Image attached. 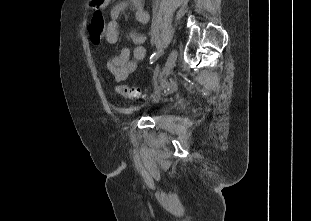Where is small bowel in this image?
Wrapping results in <instances>:
<instances>
[{
  "mask_svg": "<svg viewBox=\"0 0 311 221\" xmlns=\"http://www.w3.org/2000/svg\"><path fill=\"white\" fill-rule=\"evenodd\" d=\"M134 11L135 20L140 24L149 22V14L143 8L142 0H126L113 6L110 10V21L105 30V39L110 44H116L119 40L118 19L121 14L128 8ZM130 38L136 44L133 49L132 56L129 48H123L121 52L110 58L108 69L117 81H122L133 73L139 61L146 56L144 47L145 36L140 33H131Z\"/></svg>",
  "mask_w": 311,
  "mask_h": 221,
  "instance_id": "c3829d8e",
  "label": "small bowel"
}]
</instances>
